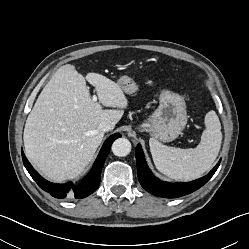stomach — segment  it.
<instances>
[{
  "label": "stomach",
  "mask_w": 249,
  "mask_h": 249,
  "mask_svg": "<svg viewBox=\"0 0 249 249\" xmlns=\"http://www.w3.org/2000/svg\"><path fill=\"white\" fill-rule=\"evenodd\" d=\"M118 84L127 94L137 91L136 82L129 76H122ZM142 129L152 137L163 142L176 139L187 124L186 103L184 98L170 90L162 89L159 95V106L144 122Z\"/></svg>",
  "instance_id": "0dacf381"
}]
</instances>
